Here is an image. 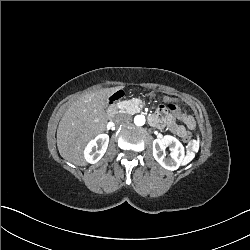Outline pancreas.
Masks as SVG:
<instances>
[{"instance_id":"obj_1","label":"pancreas","mask_w":250,"mask_h":250,"mask_svg":"<svg viewBox=\"0 0 250 250\" xmlns=\"http://www.w3.org/2000/svg\"><path fill=\"white\" fill-rule=\"evenodd\" d=\"M138 104L135 102V101H129V104L127 105L126 107V111L127 112H132L133 110H135V107L137 106Z\"/></svg>"}]
</instances>
